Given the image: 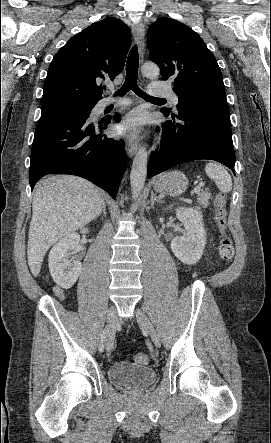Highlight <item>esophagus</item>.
Masks as SVG:
<instances>
[{
    "label": "esophagus",
    "instance_id": "34e87169",
    "mask_svg": "<svg viewBox=\"0 0 271 443\" xmlns=\"http://www.w3.org/2000/svg\"><path fill=\"white\" fill-rule=\"evenodd\" d=\"M132 34L134 37V40L137 44L139 56L141 58V61H143L144 52H145V29L144 25L141 22L135 23L131 27ZM138 149V143L133 140H127L126 141V151L130 158H132Z\"/></svg>",
    "mask_w": 271,
    "mask_h": 443
}]
</instances>
